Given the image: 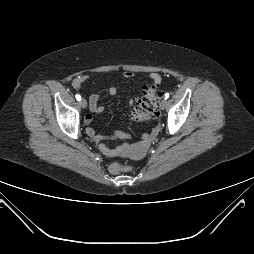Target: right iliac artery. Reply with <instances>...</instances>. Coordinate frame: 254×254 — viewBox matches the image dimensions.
I'll return each instance as SVG.
<instances>
[{
	"label": "right iliac artery",
	"instance_id": "obj_1",
	"mask_svg": "<svg viewBox=\"0 0 254 254\" xmlns=\"http://www.w3.org/2000/svg\"><path fill=\"white\" fill-rule=\"evenodd\" d=\"M76 99L78 100V101H80L81 100V96L79 95V94H76Z\"/></svg>",
	"mask_w": 254,
	"mask_h": 254
}]
</instances>
